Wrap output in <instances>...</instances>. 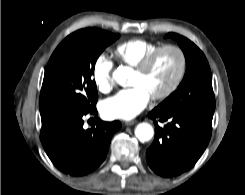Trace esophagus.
<instances>
[{
  "label": "esophagus",
  "instance_id": "esophagus-1",
  "mask_svg": "<svg viewBox=\"0 0 245 195\" xmlns=\"http://www.w3.org/2000/svg\"><path fill=\"white\" fill-rule=\"evenodd\" d=\"M136 122H137L136 120L126 121V122H125V125H127V126H132V125H134Z\"/></svg>",
  "mask_w": 245,
  "mask_h": 195
}]
</instances>
